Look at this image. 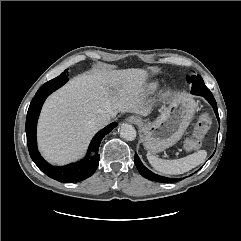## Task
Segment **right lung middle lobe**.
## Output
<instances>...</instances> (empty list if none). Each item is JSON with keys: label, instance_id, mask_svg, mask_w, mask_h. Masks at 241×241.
I'll return each mask as SVG.
<instances>
[{"label": "right lung middle lobe", "instance_id": "right-lung-middle-lobe-1", "mask_svg": "<svg viewBox=\"0 0 241 241\" xmlns=\"http://www.w3.org/2000/svg\"><path fill=\"white\" fill-rule=\"evenodd\" d=\"M68 81L67 75L62 73L58 77L46 82L44 85H42L36 94H43L47 92H53L62 85H64Z\"/></svg>", "mask_w": 241, "mask_h": 241}]
</instances>
